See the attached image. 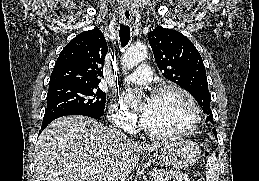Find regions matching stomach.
<instances>
[{
    "mask_svg": "<svg viewBox=\"0 0 259 181\" xmlns=\"http://www.w3.org/2000/svg\"><path fill=\"white\" fill-rule=\"evenodd\" d=\"M201 154L199 146L190 140H169L159 154L162 166L174 170H186L197 162Z\"/></svg>",
    "mask_w": 259,
    "mask_h": 181,
    "instance_id": "stomach-1",
    "label": "stomach"
}]
</instances>
